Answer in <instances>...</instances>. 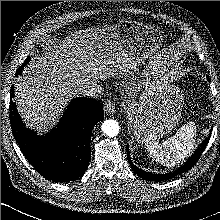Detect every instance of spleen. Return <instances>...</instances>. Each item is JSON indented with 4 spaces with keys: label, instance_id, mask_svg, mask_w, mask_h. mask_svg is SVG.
<instances>
[{
    "label": "spleen",
    "instance_id": "3e777b00",
    "mask_svg": "<svg viewBox=\"0 0 220 220\" xmlns=\"http://www.w3.org/2000/svg\"><path fill=\"white\" fill-rule=\"evenodd\" d=\"M196 134L195 123L189 122L181 126L174 136L162 144L155 140L146 141V149L155 162L171 168L181 163L191 153Z\"/></svg>",
    "mask_w": 220,
    "mask_h": 220
}]
</instances>
